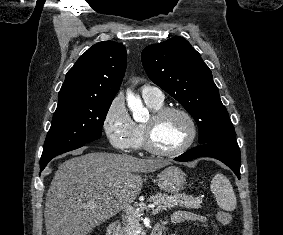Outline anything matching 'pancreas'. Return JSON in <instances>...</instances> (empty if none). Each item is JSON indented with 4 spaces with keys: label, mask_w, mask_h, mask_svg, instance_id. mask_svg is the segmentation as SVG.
<instances>
[{
    "label": "pancreas",
    "mask_w": 283,
    "mask_h": 235,
    "mask_svg": "<svg viewBox=\"0 0 283 235\" xmlns=\"http://www.w3.org/2000/svg\"><path fill=\"white\" fill-rule=\"evenodd\" d=\"M149 201L156 205H159L163 210L170 209L176 206L198 209L201 207L202 200L200 198H194L186 194H176L174 196H168L167 194L157 193L149 197ZM144 209L143 204H140ZM142 230L140 225V215L126 216L123 220V235H138Z\"/></svg>",
    "instance_id": "obj_1"
}]
</instances>
